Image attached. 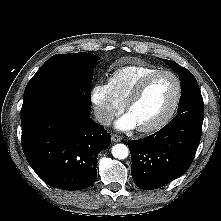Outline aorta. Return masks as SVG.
I'll list each match as a JSON object with an SVG mask.
<instances>
[{
  "label": "aorta",
  "instance_id": "1",
  "mask_svg": "<svg viewBox=\"0 0 221 221\" xmlns=\"http://www.w3.org/2000/svg\"><path fill=\"white\" fill-rule=\"evenodd\" d=\"M112 155L119 160L125 159L129 155V149L124 144H116L112 147Z\"/></svg>",
  "mask_w": 221,
  "mask_h": 221
}]
</instances>
